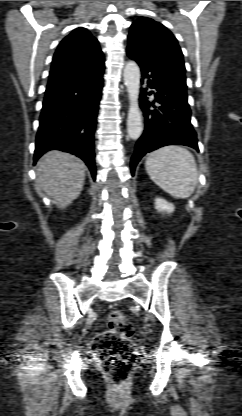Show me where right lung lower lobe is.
<instances>
[{
	"instance_id": "right-lung-lower-lobe-1",
	"label": "right lung lower lobe",
	"mask_w": 242,
	"mask_h": 416,
	"mask_svg": "<svg viewBox=\"0 0 242 416\" xmlns=\"http://www.w3.org/2000/svg\"><path fill=\"white\" fill-rule=\"evenodd\" d=\"M103 71L74 82L47 87L34 163L49 150H62L84 160L95 179L93 134L103 87Z\"/></svg>"
}]
</instances>
